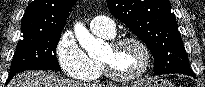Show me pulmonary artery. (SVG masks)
<instances>
[{
    "instance_id": "1",
    "label": "pulmonary artery",
    "mask_w": 205,
    "mask_h": 87,
    "mask_svg": "<svg viewBox=\"0 0 205 87\" xmlns=\"http://www.w3.org/2000/svg\"><path fill=\"white\" fill-rule=\"evenodd\" d=\"M90 29L96 34L113 37L116 33L115 23L106 16H96L90 21Z\"/></svg>"
}]
</instances>
